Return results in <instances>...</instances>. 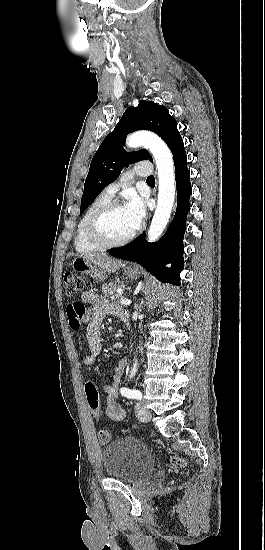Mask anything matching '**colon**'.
Returning <instances> with one entry per match:
<instances>
[{
	"label": "colon",
	"mask_w": 265,
	"mask_h": 550,
	"mask_svg": "<svg viewBox=\"0 0 265 550\" xmlns=\"http://www.w3.org/2000/svg\"><path fill=\"white\" fill-rule=\"evenodd\" d=\"M64 285H65V291L68 296H76L80 292L83 291L85 287V281L82 276H80L77 273L74 272H66L64 274ZM78 303L81 307L79 311V317L82 315V312L84 310V305L81 302H75ZM79 324V321L77 318L71 319L69 321V325L71 328L76 327ZM84 393H85V399L87 406L91 413L94 416H100L101 415V401H100V395L99 390L97 388V385L93 381H88L85 383L84 386ZM111 434L108 430L102 429L99 432V441L102 445H106L110 442ZM171 463L178 467H184L186 465L185 461L182 458H179L177 456H172L170 459Z\"/></svg>",
	"instance_id": "1"
}]
</instances>
